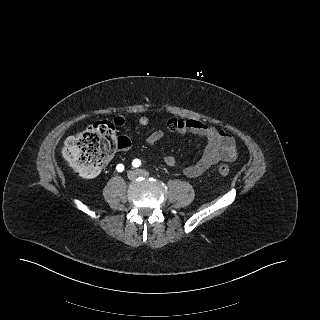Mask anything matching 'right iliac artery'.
Here are the masks:
<instances>
[{
	"label": "right iliac artery",
	"mask_w": 320,
	"mask_h": 320,
	"mask_svg": "<svg viewBox=\"0 0 320 320\" xmlns=\"http://www.w3.org/2000/svg\"><path fill=\"white\" fill-rule=\"evenodd\" d=\"M116 169L118 172H122L124 170V166L122 164H118Z\"/></svg>",
	"instance_id": "1"
}]
</instances>
